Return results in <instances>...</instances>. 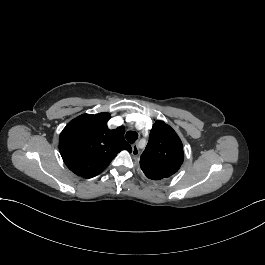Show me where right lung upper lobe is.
Here are the masks:
<instances>
[{"label":"right lung upper lobe","mask_w":265,"mask_h":265,"mask_svg":"<svg viewBox=\"0 0 265 265\" xmlns=\"http://www.w3.org/2000/svg\"><path fill=\"white\" fill-rule=\"evenodd\" d=\"M109 113L82 114L63 129L59 150L67 167L78 176L92 178L100 174L122 150L131 152L125 130H109Z\"/></svg>","instance_id":"1"}]
</instances>
